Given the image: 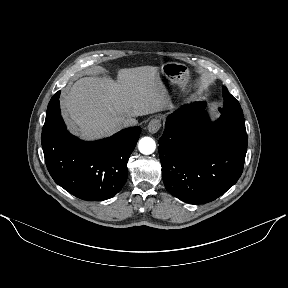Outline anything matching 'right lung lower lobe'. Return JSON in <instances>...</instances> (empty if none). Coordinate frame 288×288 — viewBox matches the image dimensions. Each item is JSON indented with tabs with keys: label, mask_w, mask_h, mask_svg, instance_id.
I'll return each mask as SVG.
<instances>
[{
	"label": "right lung lower lobe",
	"mask_w": 288,
	"mask_h": 288,
	"mask_svg": "<svg viewBox=\"0 0 288 288\" xmlns=\"http://www.w3.org/2000/svg\"><path fill=\"white\" fill-rule=\"evenodd\" d=\"M58 91L50 100L42 130V148L47 169L54 181L83 200H106L126 182L127 162L141 132L124 129L95 142L71 135L61 118Z\"/></svg>",
	"instance_id": "right-lung-lower-lobe-1"
}]
</instances>
